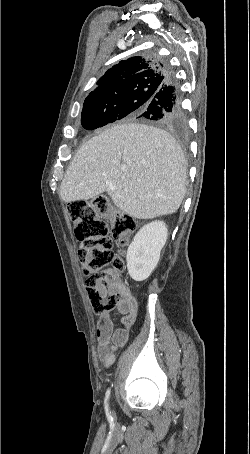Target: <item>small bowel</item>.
I'll return each instance as SVG.
<instances>
[{
	"label": "small bowel",
	"instance_id": "obj_1",
	"mask_svg": "<svg viewBox=\"0 0 250 454\" xmlns=\"http://www.w3.org/2000/svg\"><path fill=\"white\" fill-rule=\"evenodd\" d=\"M121 300L117 310L122 315L121 326L116 328L109 313H103L97 322V352L104 366L108 367L115 361V352L123 347L129 338V332L135 323L138 304L130 289L121 284Z\"/></svg>",
	"mask_w": 250,
	"mask_h": 454
}]
</instances>
